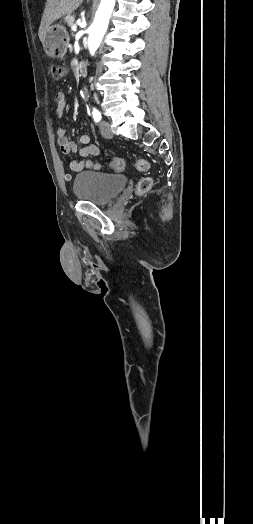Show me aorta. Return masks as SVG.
I'll list each match as a JSON object with an SVG mask.
<instances>
[{"label":"aorta","instance_id":"obj_1","mask_svg":"<svg viewBox=\"0 0 253 524\" xmlns=\"http://www.w3.org/2000/svg\"><path fill=\"white\" fill-rule=\"evenodd\" d=\"M114 6L115 0H101L100 2L95 19L89 28L88 49L91 55H94L100 46Z\"/></svg>","mask_w":253,"mask_h":524}]
</instances>
